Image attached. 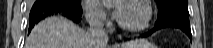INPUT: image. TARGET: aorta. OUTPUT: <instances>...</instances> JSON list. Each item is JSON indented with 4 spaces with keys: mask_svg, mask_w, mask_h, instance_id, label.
Listing matches in <instances>:
<instances>
[{
    "mask_svg": "<svg viewBox=\"0 0 213 48\" xmlns=\"http://www.w3.org/2000/svg\"><path fill=\"white\" fill-rule=\"evenodd\" d=\"M114 0H104L105 3H112Z\"/></svg>",
    "mask_w": 213,
    "mask_h": 48,
    "instance_id": "1",
    "label": "aorta"
}]
</instances>
